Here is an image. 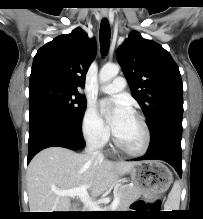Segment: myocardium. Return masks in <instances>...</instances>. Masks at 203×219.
<instances>
[{
	"mask_svg": "<svg viewBox=\"0 0 203 219\" xmlns=\"http://www.w3.org/2000/svg\"><path fill=\"white\" fill-rule=\"evenodd\" d=\"M132 115H134L135 118L140 122L142 129H143L144 140H143L141 147L138 149H130V148L126 147L118 140V138L116 137L114 132H113L112 138H113L114 145L121 152H123L129 156H132V157H140V156L145 155L147 153V151L149 150L150 143H151V133H150V129H149V126H148L145 118L140 113H138L136 111H132Z\"/></svg>",
	"mask_w": 203,
	"mask_h": 219,
	"instance_id": "1",
	"label": "myocardium"
}]
</instances>
